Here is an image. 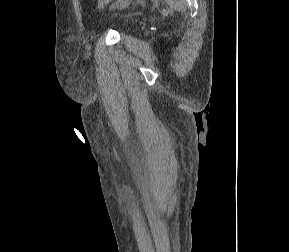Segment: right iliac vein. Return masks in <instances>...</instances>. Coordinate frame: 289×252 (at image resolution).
<instances>
[{"instance_id":"obj_1","label":"right iliac vein","mask_w":289,"mask_h":252,"mask_svg":"<svg viewBox=\"0 0 289 252\" xmlns=\"http://www.w3.org/2000/svg\"><path fill=\"white\" fill-rule=\"evenodd\" d=\"M132 0H124L119 6V9H124Z\"/></svg>"}]
</instances>
